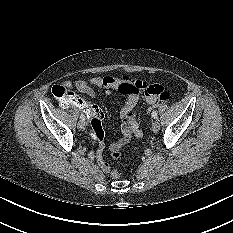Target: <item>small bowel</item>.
I'll return each mask as SVG.
<instances>
[{
	"label": "small bowel",
	"instance_id": "1",
	"mask_svg": "<svg viewBox=\"0 0 233 233\" xmlns=\"http://www.w3.org/2000/svg\"><path fill=\"white\" fill-rule=\"evenodd\" d=\"M62 86L70 91L72 88H76L79 92L90 97H95L96 90H101L105 94H110L111 92L116 91L127 97L126 102L119 113L122 120L121 137L111 143L110 150L112 153L120 151V149L129 143L132 138H141L143 136V132L137 122L134 110L140 97H144L145 102L148 105L155 100L154 96H150L145 93V87L150 86V84L127 78L105 76L93 77L88 81H66ZM102 150L103 146L101 145L96 156L97 163L104 173H109L110 167L108 163L103 160Z\"/></svg>",
	"mask_w": 233,
	"mask_h": 233
}]
</instances>
